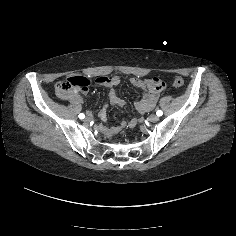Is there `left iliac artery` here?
<instances>
[{"mask_svg": "<svg viewBox=\"0 0 236 236\" xmlns=\"http://www.w3.org/2000/svg\"><path fill=\"white\" fill-rule=\"evenodd\" d=\"M156 114H157L158 116H162L163 112H162L161 110H158V111L156 112Z\"/></svg>", "mask_w": 236, "mask_h": 236, "instance_id": "left-iliac-artery-1", "label": "left iliac artery"}]
</instances>
